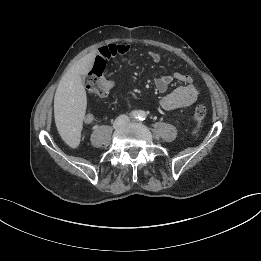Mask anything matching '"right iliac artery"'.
I'll use <instances>...</instances> for the list:
<instances>
[{
	"instance_id": "82829eb1",
	"label": "right iliac artery",
	"mask_w": 261,
	"mask_h": 261,
	"mask_svg": "<svg viewBox=\"0 0 261 261\" xmlns=\"http://www.w3.org/2000/svg\"><path fill=\"white\" fill-rule=\"evenodd\" d=\"M130 117L132 119H137L139 117V113L137 111H133L130 113Z\"/></svg>"
}]
</instances>
